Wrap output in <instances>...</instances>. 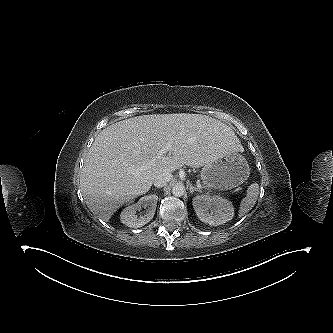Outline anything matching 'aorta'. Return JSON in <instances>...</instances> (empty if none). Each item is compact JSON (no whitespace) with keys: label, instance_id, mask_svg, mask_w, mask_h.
Here are the masks:
<instances>
[{"label":"aorta","instance_id":"obj_1","mask_svg":"<svg viewBox=\"0 0 333 333\" xmlns=\"http://www.w3.org/2000/svg\"><path fill=\"white\" fill-rule=\"evenodd\" d=\"M185 193V186L182 183H177L172 187V194L176 197H181Z\"/></svg>","mask_w":333,"mask_h":333}]
</instances>
